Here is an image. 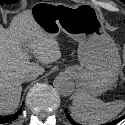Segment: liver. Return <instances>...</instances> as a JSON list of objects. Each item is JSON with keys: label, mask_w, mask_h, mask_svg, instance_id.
I'll use <instances>...</instances> for the list:
<instances>
[{"label": "liver", "mask_w": 125, "mask_h": 125, "mask_svg": "<svg viewBox=\"0 0 125 125\" xmlns=\"http://www.w3.org/2000/svg\"><path fill=\"white\" fill-rule=\"evenodd\" d=\"M43 65L61 57L55 37L47 35L33 20L31 11L13 17L10 26L0 24V115L13 113L19 106L22 76L44 73V68L30 62V55Z\"/></svg>", "instance_id": "liver-1"}]
</instances>
